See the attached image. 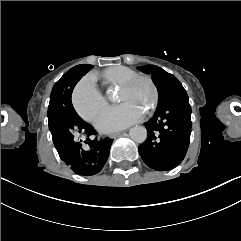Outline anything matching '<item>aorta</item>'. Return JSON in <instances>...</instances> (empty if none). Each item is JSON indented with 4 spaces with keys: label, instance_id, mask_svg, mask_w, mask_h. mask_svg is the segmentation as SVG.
Masks as SVG:
<instances>
[{
    "label": "aorta",
    "instance_id": "aorta-1",
    "mask_svg": "<svg viewBox=\"0 0 241 241\" xmlns=\"http://www.w3.org/2000/svg\"><path fill=\"white\" fill-rule=\"evenodd\" d=\"M130 138L136 143H143L147 139V130L144 126H135L129 131Z\"/></svg>",
    "mask_w": 241,
    "mask_h": 241
}]
</instances>
